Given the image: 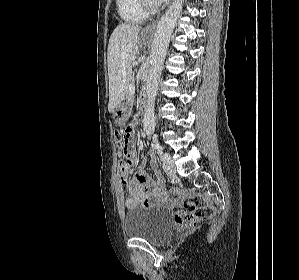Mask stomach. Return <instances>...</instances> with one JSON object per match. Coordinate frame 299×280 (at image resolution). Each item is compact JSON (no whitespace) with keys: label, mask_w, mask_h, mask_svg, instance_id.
Returning a JSON list of instances; mask_svg holds the SVG:
<instances>
[{"label":"stomach","mask_w":299,"mask_h":280,"mask_svg":"<svg viewBox=\"0 0 299 280\" xmlns=\"http://www.w3.org/2000/svg\"><path fill=\"white\" fill-rule=\"evenodd\" d=\"M144 39H149V37L144 36ZM131 104L129 102H122L114 111L113 119L117 126L121 127L126 125L129 119Z\"/></svg>","instance_id":"stomach-1"}]
</instances>
